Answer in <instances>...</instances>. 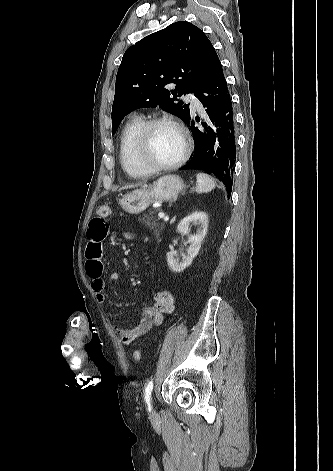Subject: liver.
I'll return each instance as SVG.
<instances>
[{
    "instance_id": "liver-1",
    "label": "liver",
    "mask_w": 333,
    "mask_h": 471,
    "mask_svg": "<svg viewBox=\"0 0 333 471\" xmlns=\"http://www.w3.org/2000/svg\"><path fill=\"white\" fill-rule=\"evenodd\" d=\"M136 186H138V184H137V185H128V186H124L122 189L134 188V187H136Z\"/></svg>"
}]
</instances>
